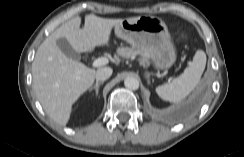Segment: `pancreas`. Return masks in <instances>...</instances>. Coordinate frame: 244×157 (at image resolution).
<instances>
[{
    "instance_id": "1",
    "label": "pancreas",
    "mask_w": 244,
    "mask_h": 157,
    "mask_svg": "<svg viewBox=\"0 0 244 157\" xmlns=\"http://www.w3.org/2000/svg\"><path fill=\"white\" fill-rule=\"evenodd\" d=\"M118 54L125 59L135 58L138 55L141 56V60L143 61H147L148 59V55L145 52L134 48L121 47L118 49Z\"/></svg>"
}]
</instances>
